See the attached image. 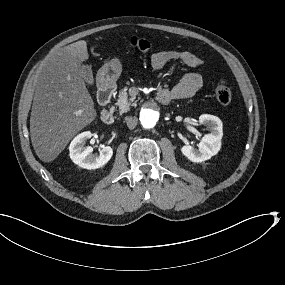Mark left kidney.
Listing matches in <instances>:
<instances>
[{
	"mask_svg": "<svg viewBox=\"0 0 285 285\" xmlns=\"http://www.w3.org/2000/svg\"><path fill=\"white\" fill-rule=\"evenodd\" d=\"M198 122L207 124L211 128L212 133L202 136L198 145L199 150H195L191 145L180 147L181 154L194 163L205 162L215 156L220 150L223 135L222 122L218 117L202 115L199 117Z\"/></svg>",
	"mask_w": 285,
	"mask_h": 285,
	"instance_id": "5707ae66",
	"label": "left kidney"
}]
</instances>
